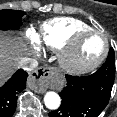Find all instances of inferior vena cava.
I'll list each match as a JSON object with an SVG mask.
<instances>
[{
    "label": "inferior vena cava",
    "instance_id": "obj_1",
    "mask_svg": "<svg viewBox=\"0 0 117 117\" xmlns=\"http://www.w3.org/2000/svg\"><path fill=\"white\" fill-rule=\"evenodd\" d=\"M38 66V61L36 59L23 57L19 60L17 67L25 70L32 71Z\"/></svg>",
    "mask_w": 117,
    "mask_h": 117
}]
</instances>
